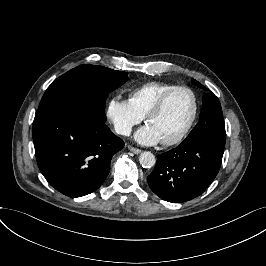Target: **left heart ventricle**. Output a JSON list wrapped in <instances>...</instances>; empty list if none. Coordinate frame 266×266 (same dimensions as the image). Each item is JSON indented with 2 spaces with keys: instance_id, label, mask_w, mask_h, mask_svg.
<instances>
[{
  "instance_id": "b2bd125f",
  "label": "left heart ventricle",
  "mask_w": 266,
  "mask_h": 266,
  "mask_svg": "<svg viewBox=\"0 0 266 266\" xmlns=\"http://www.w3.org/2000/svg\"><path fill=\"white\" fill-rule=\"evenodd\" d=\"M193 111L191 94L186 90H177L169 97L163 110L153 115L148 123L156 129L161 140H171L185 128Z\"/></svg>"
}]
</instances>
